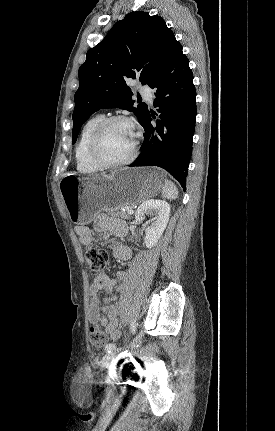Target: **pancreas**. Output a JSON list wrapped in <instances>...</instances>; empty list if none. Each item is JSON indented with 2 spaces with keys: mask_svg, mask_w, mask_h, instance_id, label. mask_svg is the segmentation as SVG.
<instances>
[{
  "mask_svg": "<svg viewBox=\"0 0 275 431\" xmlns=\"http://www.w3.org/2000/svg\"><path fill=\"white\" fill-rule=\"evenodd\" d=\"M112 215L116 217H120L123 219H130L131 215L128 214L127 210H116L115 212H112Z\"/></svg>",
  "mask_w": 275,
  "mask_h": 431,
  "instance_id": "obj_1",
  "label": "pancreas"
}]
</instances>
